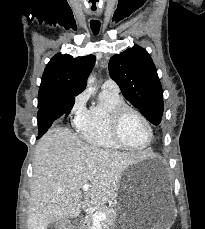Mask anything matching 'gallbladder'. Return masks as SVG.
<instances>
[{
    "label": "gallbladder",
    "mask_w": 205,
    "mask_h": 229,
    "mask_svg": "<svg viewBox=\"0 0 205 229\" xmlns=\"http://www.w3.org/2000/svg\"><path fill=\"white\" fill-rule=\"evenodd\" d=\"M65 226H67L66 220L60 219L50 223L46 229H63Z\"/></svg>",
    "instance_id": "obj_1"
}]
</instances>
